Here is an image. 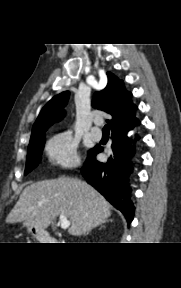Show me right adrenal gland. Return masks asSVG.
Listing matches in <instances>:
<instances>
[{
	"label": "right adrenal gland",
	"instance_id": "obj_1",
	"mask_svg": "<svg viewBox=\"0 0 181 288\" xmlns=\"http://www.w3.org/2000/svg\"><path fill=\"white\" fill-rule=\"evenodd\" d=\"M110 221H112V220H110ZM93 228H94V226H92L91 228H89V229L87 230V232L85 233V235L88 234Z\"/></svg>",
	"mask_w": 181,
	"mask_h": 288
}]
</instances>
